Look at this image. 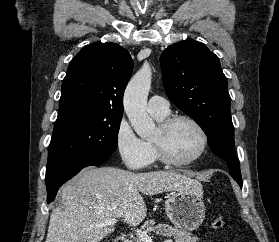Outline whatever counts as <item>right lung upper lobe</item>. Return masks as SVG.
<instances>
[{"instance_id": "obj_1", "label": "right lung upper lobe", "mask_w": 279, "mask_h": 242, "mask_svg": "<svg viewBox=\"0 0 279 242\" xmlns=\"http://www.w3.org/2000/svg\"><path fill=\"white\" fill-rule=\"evenodd\" d=\"M132 69L129 52L116 43L84 47L71 60L63 79L59 114L87 110L123 116V94Z\"/></svg>"}]
</instances>
